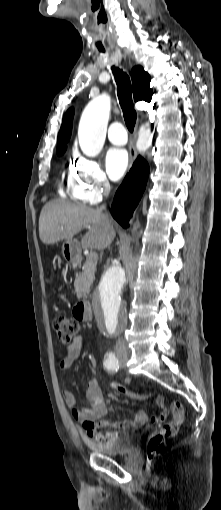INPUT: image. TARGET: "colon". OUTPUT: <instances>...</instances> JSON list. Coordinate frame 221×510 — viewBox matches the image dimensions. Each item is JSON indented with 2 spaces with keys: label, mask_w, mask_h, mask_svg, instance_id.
<instances>
[{
  "label": "colon",
  "mask_w": 221,
  "mask_h": 510,
  "mask_svg": "<svg viewBox=\"0 0 221 510\" xmlns=\"http://www.w3.org/2000/svg\"><path fill=\"white\" fill-rule=\"evenodd\" d=\"M52 327L57 333L59 341L63 344H70L74 340L79 329V325L76 320L63 314H58L53 318ZM111 386L117 392L129 394L141 400L150 398L148 395L134 393L118 383H112ZM166 411L167 415L169 412L171 413L172 418L164 423L159 432L152 436L148 441L146 451L149 461H152L165 449L166 441L178 433V430L184 421V407L179 401L171 402L169 406L166 407ZM165 418V413H161L159 415L160 421H164ZM98 438L102 439V434H99Z\"/></svg>",
  "instance_id": "5ec220e1"
}]
</instances>
